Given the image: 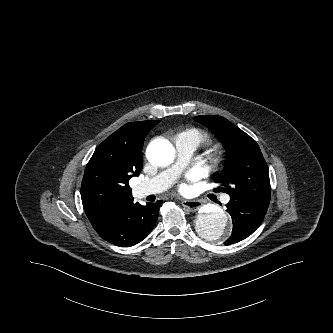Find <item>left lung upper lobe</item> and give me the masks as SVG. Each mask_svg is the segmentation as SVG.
Here are the masks:
<instances>
[{
    "label": "left lung upper lobe",
    "mask_w": 333,
    "mask_h": 333,
    "mask_svg": "<svg viewBox=\"0 0 333 333\" xmlns=\"http://www.w3.org/2000/svg\"><path fill=\"white\" fill-rule=\"evenodd\" d=\"M195 120L214 132L228 153L225 172L213 177L222 185L215 191L229 194L230 199L268 207L269 171L255 140L221 116L201 115Z\"/></svg>",
    "instance_id": "5c2ea615"
}]
</instances>
